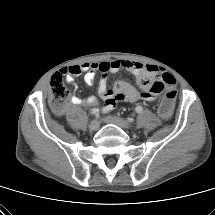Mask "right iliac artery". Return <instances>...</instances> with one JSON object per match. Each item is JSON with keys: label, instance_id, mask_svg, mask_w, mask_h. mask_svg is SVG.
Returning <instances> with one entry per match:
<instances>
[{"label": "right iliac artery", "instance_id": "82829eb1", "mask_svg": "<svg viewBox=\"0 0 215 215\" xmlns=\"http://www.w3.org/2000/svg\"><path fill=\"white\" fill-rule=\"evenodd\" d=\"M91 114H92V115H95V116H98V115H99V109L93 108V109L91 110Z\"/></svg>", "mask_w": 215, "mask_h": 215}]
</instances>
